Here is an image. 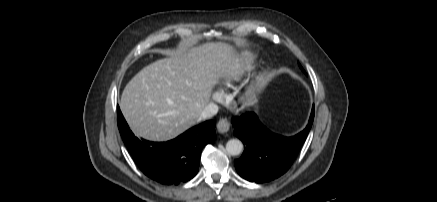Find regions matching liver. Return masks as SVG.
Returning <instances> with one entry per match:
<instances>
[{
	"label": "liver",
	"instance_id": "6515ba94",
	"mask_svg": "<svg viewBox=\"0 0 437 202\" xmlns=\"http://www.w3.org/2000/svg\"><path fill=\"white\" fill-rule=\"evenodd\" d=\"M239 66V54L228 43L208 42L177 50L129 81L120 109L137 136L152 141L173 139L199 122L214 87Z\"/></svg>",
	"mask_w": 437,
	"mask_h": 202
}]
</instances>
